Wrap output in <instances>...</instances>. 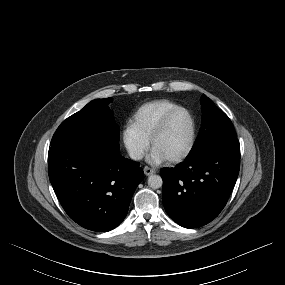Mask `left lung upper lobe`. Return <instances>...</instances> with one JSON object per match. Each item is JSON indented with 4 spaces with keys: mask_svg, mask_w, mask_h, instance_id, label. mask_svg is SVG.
Wrapping results in <instances>:
<instances>
[{
    "mask_svg": "<svg viewBox=\"0 0 285 285\" xmlns=\"http://www.w3.org/2000/svg\"><path fill=\"white\" fill-rule=\"evenodd\" d=\"M201 105L202 125L186 159L219 150L240 149L236 132L229 117L218 109L205 94L201 97Z\"/></svg>",
    "mask_w": 285,
    "mask_h": 285,
    "instance_id": "1",
    "label": "left lung upper lobe"
}]
</instances>
